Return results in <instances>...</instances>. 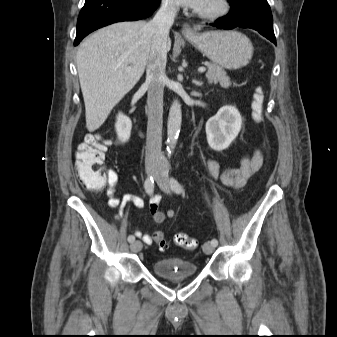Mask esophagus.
<instances>
[{"mask_svg":"<svg viewBox=\"0 0 337 337\" xmlns=\"http://www.w3.org/2000/svg\"><path fill=\"white\" fill-rule=\"evenodd\" d=\"M182 34L185 36L194 35V30L189 24L186 23L182 26Z\"/></svg>","mask_w":337,"mask_h":337,"instance_id":"obj_1","label":"esophagus"}]
</instances>
